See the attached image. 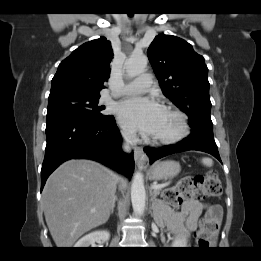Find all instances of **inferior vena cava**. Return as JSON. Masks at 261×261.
Returning a JSON list of instances; mask_svg holds the SVG:
<instances>
[{"mask_svg": "<svg viewBox=\"0 0 261 261\" xmlns=\"http://www.w3.org/2000/svg\"><path fill=\"white\" fill-rule=\"evenodd\" d=\"M124 143H123V150L125 152H130L132 147L136 145L138 138L136 136V133L134 132H123L122 133Z\"/></svg>", "mask_w": 261, "mask_h": 261, "instance_id": "inferior-vena-cava-1", "label": "inferior vena cava"}]
</instances>
